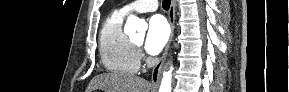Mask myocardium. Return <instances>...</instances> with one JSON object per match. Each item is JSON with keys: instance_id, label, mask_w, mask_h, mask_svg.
I'll use <instances>...</instances> for the list:
<instances>
[{"instance_id": "obj_1", "label": "myocardium", "mask_w": 289, "mask_h": 92, "mask_svg": "<svg viewBox=\"0 0 289 92\" xmlns=\"http://www.w3.org/2000/svg\"><path fill=\"white\" fill-rule=\"evenodd\" d=\"M133 45H134L135 47H138V46H139V44H137V43H133Z\"/></svg>"}]
</instances>
